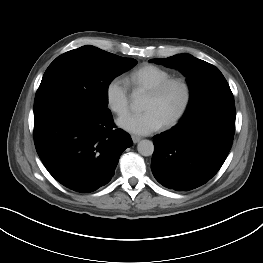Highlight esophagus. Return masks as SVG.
<instances>
[{"label":"esophagus","mask_w":263,"mask_h":263,"mask_svg":"<svg viewBox=\"0 0 263 263\" xmlns=\"http://www.w3.org/2000/svg\"><path fill=\"white\" fill-rule=\"evenodd\" d=\"M133 143H138L141 140V137L137 135H132L131 136Z\"/></svg>","instance_id":"esophagus-1"}]
</instances>
